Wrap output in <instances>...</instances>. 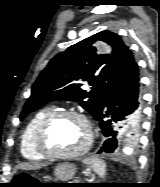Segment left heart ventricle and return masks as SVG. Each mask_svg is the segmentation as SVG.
<instances>
[{"instance_id": "b2bd125f", "label": "left heart ventricle", "mask_w": 160, "mask_h": 187, "mask_svg": "<svg viewBox=\"0 0 160 187\" xmlns=\"http://www.w3.org/2000/svg\"><path fill=\"white\" fill-rule=\"evenodd\" d=\"M87 140V130L83 122L76 117L61 119L51 133V146L62 152L80 149Z\"/></svg>"}]
</instances>
